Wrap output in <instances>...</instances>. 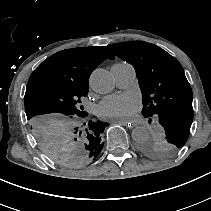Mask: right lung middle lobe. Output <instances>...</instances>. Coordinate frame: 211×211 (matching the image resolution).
<instances>
[{"label": "right lung middle lobe", "instance_id": "1", "mask_svg": "<svg viewBox=\"0 0 211 211\" xmlns=\"http://www.w3.org/2000/svg\"><path fill=\"white\" fill-rule=\"evenodd\" d=\"M88 88L71 83L42 81L25 93V111L41 151L53 162L69 168L93 162L94 151L108 125L86 118L80 106Z\"/></svg>", "mask_w": 211, "mask_h": 211}]
</instances>
